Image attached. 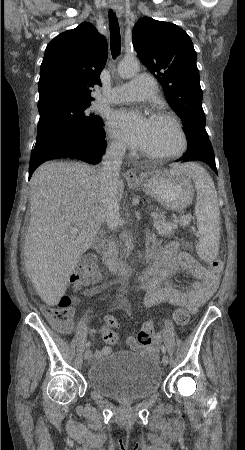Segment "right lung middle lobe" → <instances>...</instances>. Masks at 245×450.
Segmentation results:
<instances>
[{"label": "right lung middle lobe", "mask_w": 245, "mask_h": 450, "mask_svg": "<svg viewBox=\"0 0 245 450\" xmlns=\"http://www.w3.org/2000/svg\"><path fill=\"white\" fill-rule=\"evenodd\" d=\"M90 104L58 103L38 109L37 139L32 152H43L65 144L96 142L102 119L88 110Z\"/></svg>", "instance_id": "right-lung-middle-lobe-1"}]
</instances>
